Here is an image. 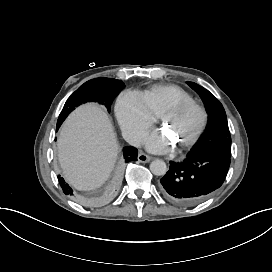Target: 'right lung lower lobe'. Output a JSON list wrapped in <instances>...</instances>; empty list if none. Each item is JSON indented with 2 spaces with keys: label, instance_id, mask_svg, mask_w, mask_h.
Returning a JSON list of instances; mask_svg holds the SVG:
<instances>
[{
  "label": "right lung lower lobe",
  "instance_id": "98d812e1",
  "mask_svg": "<svg viewBox=\"0 0 272 272\" xmlns=\"http://www.w3.org/2000/svg\"><path fill=\"white\" fill-rule=\"evenodd\" d=\"M61 125V124H60ZM59 124H57V130L60 127ZM138 156V150L135 147H125L123 149V157L124 162L129 163L132 161H136ZM59 184L63 190V192L67 195H72L73 190L72 188L64 181L62 177L59 176L58 178ZM121 183V178L119 175H116L112 181L107 185V187L103 190L102 193H100L98 196L94 198H88L85 200V203L88 205H99L104 200L108 199L109 197L113 196L119 189Z\"/></svg>",
  "mask_w": 272,
  "mask_h": 272
}]
</instances>
